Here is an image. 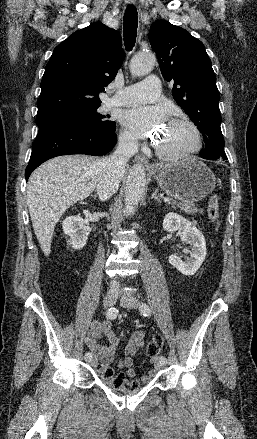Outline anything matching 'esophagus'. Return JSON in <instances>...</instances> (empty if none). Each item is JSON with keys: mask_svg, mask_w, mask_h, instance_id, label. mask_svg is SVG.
Segmentation results:
<instances>
[{"mask_svg": "<svg viewBox=\"0 0 257 439\" xmlns=\"http://www.w3.org/2000/svg\"><path fill=\"white\" fill-rule=\"evenodd\" d=\"M126 3L128 4H134L135 0H126ZM136 162L143 164L148 170L152 169V166L148 163V160L146 157L142 154H138L135 156Z\"/></svg>", "mask_w": 257, "mask_h": 439, "instance_id": "1", "label": "esophagus"}]
</instances>
